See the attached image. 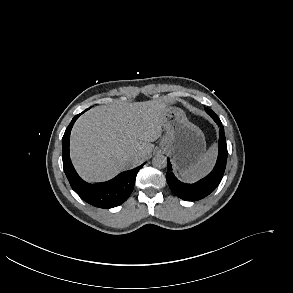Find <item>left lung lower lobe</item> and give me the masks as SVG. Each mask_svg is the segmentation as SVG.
Listing matches in <instances>:
<instances>
[{"label": "left lung lower lobe", "instance_id": "1", "mask_svg": "<svg viewBox=\"0 0 293 293\" xmlns=\"http://www.w3.org/2000/svg\"><path fill=\"white\" fill-rule=\"evenodd\" d=\"M214 121L218 124L219 131V150L216 165L212 172L205 178L194 184H185L177 180V178L171 172V164L168 160V171L166 173V179L171 191L179 198L186 201L200 200L210 193L219 185L227 162V144L225 139L224 128L218 116L213 117Z\"/></svg>", "mask_w": 293, "mask_h": 293}]
</instances>
